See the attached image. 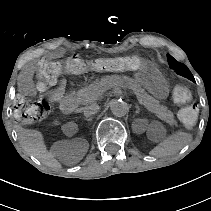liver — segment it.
Returning a JSON list of instances; mask_svg holds the SVG:
<instances>
[{
	"label": "liver",
	"instance_id": "liver-1",
	"mask_svg": "<svg viewBox=\"0 0 211 211\" xmlns=\"http://www.w3.org/2000/svg\"><path fill=\"white\" fill-rule=\"evenodd\" d=\"M15 128L27 154L36 157L47 166L63 168L62 163L48 151L43 132L37 129H24L21 125H15Z\"/></svg>",
	"mask_w": 211,
	"mask_h": 211
}]
</instances>
